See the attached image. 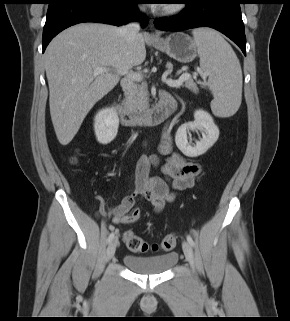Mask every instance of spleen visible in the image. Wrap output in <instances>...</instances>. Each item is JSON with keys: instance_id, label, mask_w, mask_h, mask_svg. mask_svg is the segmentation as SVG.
<instances>
[{"instance_id": "spleen-1", "label": "spleen", "mask_w": 290, "mask_h": 321, "mask_svg": "<svg viewBox=\"0 0 290 321\" xmlns=\"http://www.w3.org/2000/svg\"><path fill=\"white\" fill-rule=\"evenodd\" d=\"M200 57V68L209 76L213 92L212 112L219 117L234 115L242 101V70L232 47L215 30L199 28L192 31Z\"/></svg>"}]
</instances>
